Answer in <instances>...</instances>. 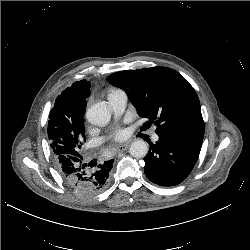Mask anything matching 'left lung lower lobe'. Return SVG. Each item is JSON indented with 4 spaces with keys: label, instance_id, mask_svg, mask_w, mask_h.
I'll return each mask as SVG.
<instances>
[{
    "label": "left lung lower lobe",
    "instance_id": "0a47b994",
    "mask_svg": "<svg viewBox=\"0 0 250 250\" xmlns=\"http://www.w3.org/2000/svg\"><path fill=\"white\" fill-rule=\"evenodd\" d=\"M203 137L159 135L156 144L149 142L144 171L147 178L160 186H175L192 171L202 146Z\"/></svg>",
    "mask_w": 250,
    "mask_h": 250
}]
</instances>
